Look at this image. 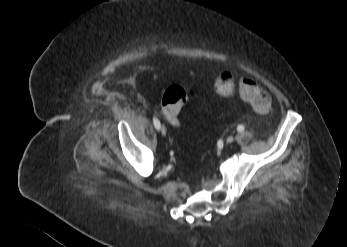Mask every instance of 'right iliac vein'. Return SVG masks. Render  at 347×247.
Segmentation results:
<instances>
[{
	"mask_svg": "<svg viewBox=\"0 0 347 247\" xmlns=\"http://www.w3.org/2000/svg\"><path fill=\"white\" fill-rule=\"evenodd\" d=\"M161 133L163 135H166V128H165V126H161Z\"/></svg>",
	"mask_w": 347,
	"mask_h": 247,
	"instance_id": "63e3f726",
	"label": "right iliac vein"
}]
</instances>
